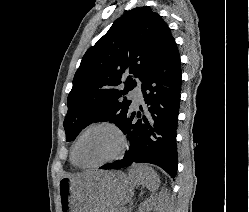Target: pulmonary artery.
I'll use <instances>...</instances> for the list:
<instances>
[{
  "label": "pulmonary artery",
  "mask_w": 249,
  "mask_h": 212,
  "mask_svg": "<svg viewBox=\"0 0 249 212\" xmlns=\"http://www.w3.org/2000/svg\"><path fill=\"white\" fill-rule=\"evenodd\" d=\"M129 97L132 99V103L135 107H137L139 104H142L144 102V97L141 85H137L136 87H134L130 91Z\"/></svg>",
  "instance_id": "1"
}]
</instances>
